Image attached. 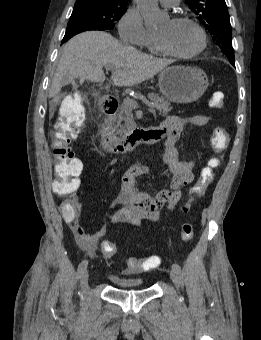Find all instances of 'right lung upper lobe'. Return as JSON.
Masks as SVG:
<instances>
[{"instance_id": "1", "label": "right lung upper lobe", "mask_w": 261, "mask_h": 340, "mask_svg": "<svg viewBox=\"0 0 261 340\" xmlns=\"http://www.w3.org/2000/svg\"><path fill=\"white\" fill-rule=\"evenodd\" d=\"M81 2H101V3L127 4L126 0H76V3H81Z\"/></svg>"}]
</instances>
